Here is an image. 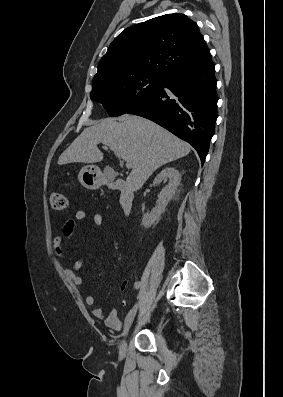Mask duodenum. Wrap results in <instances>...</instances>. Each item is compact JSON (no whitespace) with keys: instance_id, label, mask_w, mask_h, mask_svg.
Instances as JSON below:
<instances>
[{"instance_id":"duodenum-1","label":"duodenum","mask_w":283,"mask_h":397,"mask_svg":"<svg viewBox=\"0 0 283 397\" xmlns=\"http://www.w3.org/2000/svg\"><path fill=\"white\" fill-rule=\"evenodd\" d=\"M112 189L120 192L119 204L124 214H129L133 207L134 193L132 189L123 181L116 180L110 184Z\"/></svg>"}]
</instances>
